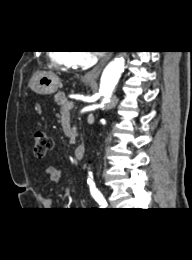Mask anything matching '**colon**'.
Instances as JSON below:
<instances>
[{"mask_svg": "<svg viewBox=\"0 0 192 260\" xmlns=\"http://www.w3.org/2000/svg\"><path fill=\"white\" fill-rule=\"evenodd\" d=\"M33 142L34 154L38 158L45 156V154L51 147L50 138L44 131L40 129H36L33 131Z\"/></svg>", "mask_w": 192, "mask_h": 260, "instance_id": "obj_1", "label": "colon"}]
</instances>
